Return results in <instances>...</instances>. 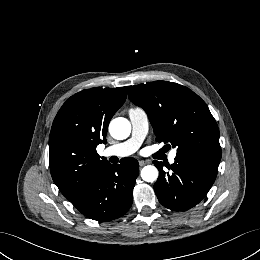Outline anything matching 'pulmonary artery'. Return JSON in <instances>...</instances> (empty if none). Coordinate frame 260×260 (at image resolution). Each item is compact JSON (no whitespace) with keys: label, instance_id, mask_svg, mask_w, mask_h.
Instances as JSON below:
<instances>
[{"label":"pulmonary artery","instance_id":"1","mask_svg":"<svg viewBox=\"0 0 260 260\" xmlns=\"http://www.w3.org/2000/svg\"><path fill=\"white\" fill-rule=\"evenodd\" d=\"M132 126V136L129 140L106 148L103 154L106 157H124L133 154L141 145L148 131V119L146 113L141 108H131L128 111ZM176 152L170 153V162H174Z\"/></svg>","mask_w":260,"mask_h":260}]
</instances>
